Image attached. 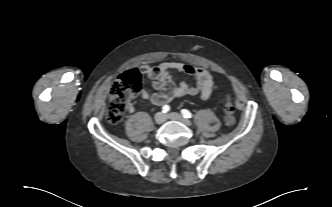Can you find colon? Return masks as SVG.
Returning <instances> with one entry per match:
<instances>
[{"label":"colon","mask_w":332,"mask_h":207,"mask_svg":"<svg viewBox=\"0 0 332 207\" xmlns=\"http://www.w3.org/2000/svg\"><path fill=\"white\" fill-rule=\"evenodd\" d=\"M141 76L137 69H130L121 74L112 84L107 119L111 123L120 122L127 111L130 100L141 93ZM234 105L227 99L224 106V120L227 125L235 123Z\"/></svg>","instance_id":"1"}]
</instances>
